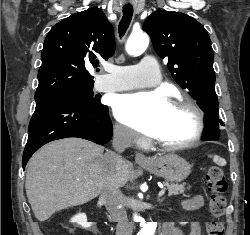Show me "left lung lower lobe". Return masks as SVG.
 <instances>
[{
	"instance_id": "0a47b994",
	"label": "left lung lower lobe",
	"mask_w": 250,
	"mask_h": 235,
	"mask_svg": "<svg viewBox=\"0 0 250 235\" xmlns=\"http://www.w3.org/2000/svg\"><path fill=\"white\" fill-rule=\"evenodd\" d=\"M205 121L207 122L206 127L204 129L205 136L203 140H213L219 133V126L223 125L220 122L218 112L214 110L209 114H206L204 117Z\"/></svg>"
}]
</instances>
